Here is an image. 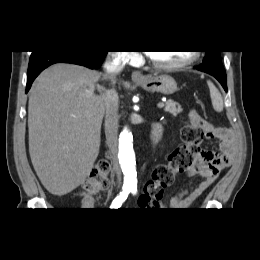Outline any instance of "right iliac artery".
Segmentation results:
<instances>
[{
	"mask_svg": "<svg viewBox=\"0 0 260 260\" xmlns=\"http://www.w3.org/2000/svg\"><path fill=\"white\" fill-rule=\"evenodd\" d=\"M130 191V187H123L122 192L113 200L111 208H119L122 203L127 199Z\"/></svg>",
	"mask_w": 260,
	"mask_h": 260,
	"instance_id": "82829eb1",
	"label": "right iliac artery"
}]
</instances>
